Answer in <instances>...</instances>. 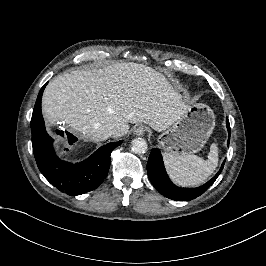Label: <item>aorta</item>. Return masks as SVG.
<instances>
[{"label":"aorta","mask_w":266,"mask_h":266,"mask_svg":"<svg viewBox=\"0 0 266 266\" xmlns=\"http://www.w3.org/2000/svg\"><path fill=\"white\" fill-rule=\"evenodd\" d=\"M131 148L133 152L137 154H142L147 151L148 145L145 139L143 138H135L131 141Z\"/></svg>","instance_id":"aorta-1"}]
</instances>
